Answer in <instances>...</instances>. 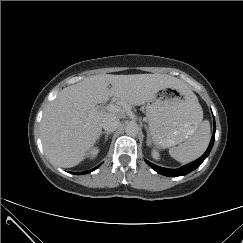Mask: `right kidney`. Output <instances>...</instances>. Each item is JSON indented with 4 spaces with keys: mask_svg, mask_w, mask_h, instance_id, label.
Returning <instances> with one entry per match:
<instances>
[{
    "mask_svg": "<svg viewBox=\"0 0 243 243\" xmlns=\"http://www.w3.org/2000/svg\"><path fill=\"white\" fill-rule=\"evenodd\" d=\"M98 153H99V150L98 149H96V148H94V149H92L91 151H90V157L91 158H95L97 155H98Z\"/></svg>",
    "mask_w": 243,
    "mask_h": 243,
    "instance_id": "1",
    "label": "right kidney"
}]
</instances>
